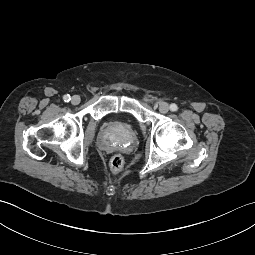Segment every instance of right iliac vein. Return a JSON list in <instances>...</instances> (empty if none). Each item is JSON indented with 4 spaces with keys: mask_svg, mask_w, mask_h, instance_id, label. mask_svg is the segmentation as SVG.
I'll use <instances>...</instances> for the list:
<instances>
[{
    "mask_svg": "<svg viewBox=\"0 0 255 255\" xmlns=\"http://www.w3.org/2000/svg\"><path fill=\"white\" fill-rule=\"evenodd\" d=\"M81 101V98L78 95H74L71 99V103L73 105H78Z\"/></svg>",
    "mask_w": 255,
    "mask_h": 255,
    "instance_id": "obj_1",
    "label": "right iliac vein"
}]
</instances>
